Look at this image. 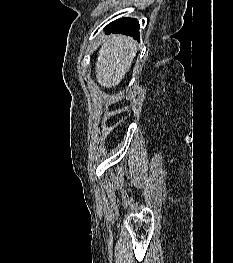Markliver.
Here are the masks:
<instances>
[{
  "mask_svg": "<svg viewBox=\"0 0 233 263\" xmlns=\"http://www.w3.org/2000/svg\"><path fill=\"white\" fill-rule=\"evenodd\" d=\"M137 49V43L130 37L106 36L95 64L98 83L104 88L116 87L129 71Z\"/></svg>",
  "mask_w": 233,
  "mask_h": 263,
  "instance_id": "6515ba94",
  "label": "liver"
}]
</instances>
